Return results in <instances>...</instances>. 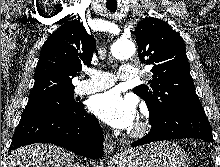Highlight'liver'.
Masks as SVG:
<instances>
[{
  "instance_id": "liver-1",
  "label": "liver",
  "mask_w": 220,
  "mask_h": 167,
  "mask_svg": "<svg viewBox=\"0 0 220 167\" xmlns=\"http://www.w3.org/2000/svg\"><path fill=\"white\" fill-rule=\"evenodd\" d=\"M8 167H77L75 155L49 144H32L13 151Z\"/></svg>"
}]
</instances>
